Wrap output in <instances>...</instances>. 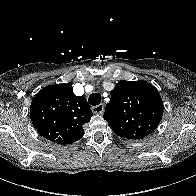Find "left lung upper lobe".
<instances>
[{"instance_id":"5c2ea615","label":"left lung upper lobe","mask_w":196,"mask_h":196,"mask_svg":"<svg viewBox=\"0 0 196 196\" xmlns=\"http://www.w3.org/2000/svg\"><path fill=\"white\" fill-rule=\"evenodd\" d=\"M110 93L104 119L116 135L142 139L158 127L164 107L158 90L152 84L123 80Z\"/></svg>"}]
</instances>
